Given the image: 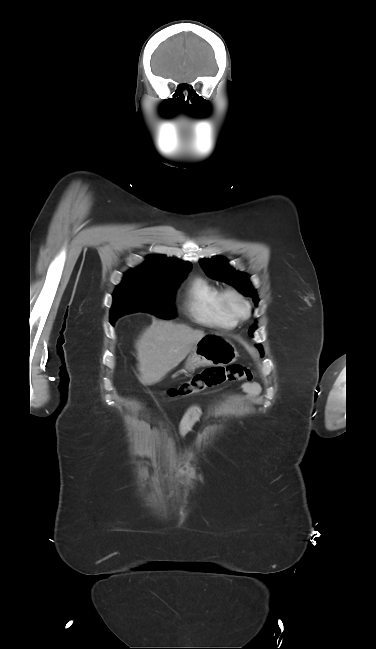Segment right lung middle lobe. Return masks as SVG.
<instances>
[{
	"label": "right lung middle lobe",
	"mask_w": 376,
	"mask_h": 649,
	"mask_svg": "<svg viewBox=\"0 0 376 649\" xmlns=\"http://www.w3.org/2000/svg\"><path fill=\"white\" fill-rule=\"evenodd\" d=\"M188 272L150 276L133 269L125 273L123 282L113 293L111 324L126 313L138 311L168 319L175 317L174 294Z\"/></svg>",
	"instance_id": "right-lung-middle-lobe-1"
}]
</instances>
